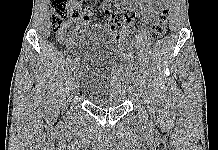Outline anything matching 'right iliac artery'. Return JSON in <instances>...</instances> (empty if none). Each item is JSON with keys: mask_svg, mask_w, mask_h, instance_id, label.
I'll use <instances>...</instances> for the list:
<instances>
[{"mask_svg": "<svg viewBox=\"0 0 218 150\" xmlns=\"http://www.w3.org/2000/svg\"><path fill=\"white\" fill-rule=\"evenodd\" d=\"M76 62L77 60L75 59L72 63H71V69H74L76 67Z\"/></svg>", "mask_w": 218, "mask_h": 150, "instance_id": "right-iliac-artery-1", "label": "right iliac artery"}]
</instances>
